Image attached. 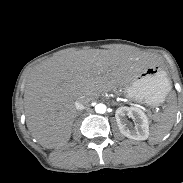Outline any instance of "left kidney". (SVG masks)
<instances>
[{
  "instance_id": "5707ae66",
  "label": "left kidney",
  "mask_w": 183,
  "mask_h": 183,
  "mask_svg": "<svg viewBox=\"0 0 183 183\" xmlns=\"http://www.w3.org/2000/svg\"><path fill=\"white\" fill-rule=\"evenodd\" d=\"M135 122L133 127L126 117ZM115 118L121 133L133 140H146L149 137V120L147 115L137 107H119L115 112Z\"/></svg>"
}]
</instances>
